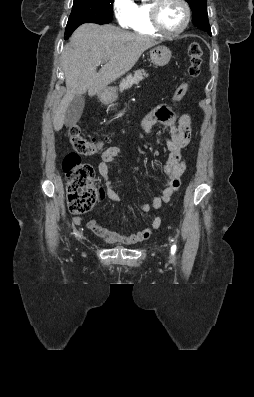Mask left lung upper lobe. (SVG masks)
Listing matches in <instances>:
<instances>
[{
  "instance_id": "5c2ea615",
  "label": "left lung upper lobe",
  "mask_w": 254,
  "mask_h": 397,
  "mask_svg": "<svg viewBox=\"0 0 254 397\" xmlns=\"http://www.w3.org/2000/svg\"><path fill=\"white\" fill-rule=\"evenodd\" d=\"M192 9V22L195 26L211 35V28L208 22L206 0H186Z\"/></svg>"
}]
</instances>
